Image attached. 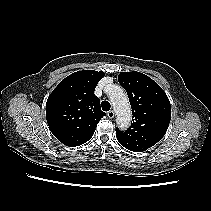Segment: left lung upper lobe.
Segmentation results:
<instances>
[{"mask_svg": "<svg viewBox=\"0 0 211 211\" xmlns=\"http://www.w3.org/2000/svg\"><path fill=\"white\" fill-rule=\"evenodd\" d=\"M118 81L129 97L133 123L126 131L116 129L117 140L131 151H145L165 135L171 119L170 101L162 88L143 73L120 72Z\"/></svg>", "mask_w": 211, "mask_h": 211, "instance_id": "5c2ea615", "label": "left lung upper lobe"}]
</instances>
